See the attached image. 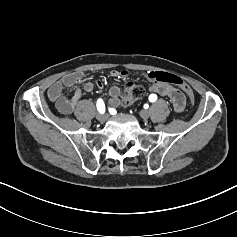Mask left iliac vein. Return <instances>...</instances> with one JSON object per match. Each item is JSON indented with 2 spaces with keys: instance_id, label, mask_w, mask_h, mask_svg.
Returning <instances> with one entry per match:
<instances>
[{
  "instance_id": "left-iliac-vein-1",
  "label": "left iliac vein",
  "mask_w": 237,
  "mask_h": 237,
  "mask_svg": "<svg viewBox=\"0 0 237 237\" xmlns=\"http://www.w3.org/2000/svg\"><path fill=\"white\" fill-rule=\"evenodd\" d=\"M140 116L143 119H148L149 118V112L146 111V110H143V111L140 112Z\"/></svg>"
}]
</instances>
